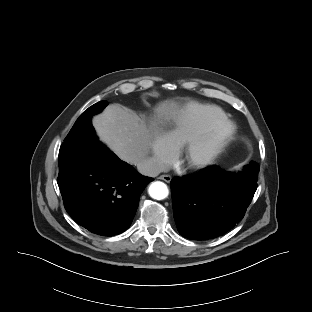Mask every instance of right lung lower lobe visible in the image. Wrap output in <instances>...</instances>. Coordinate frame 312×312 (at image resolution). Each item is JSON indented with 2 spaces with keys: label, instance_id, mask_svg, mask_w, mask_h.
<instances>
[{
  "label": "right lung lower lobe",
  "instance_id": "right-lung-lower-lobe-1",
  "mask_svg": "<svg viewBox=\"0 0 312 312\" xmlns=\"http://www.w3.org/2000/svg\"><path fill=\"white\" fill-rule=\"evenodd\" d=\"M152 180L94 144L69 170L59 172L57 182L76 223L92 233L113 236L128 229L140 194Z\"/></svg>",
  "mask_w": 312,
  "mask_h": 312
}]
</instances>
